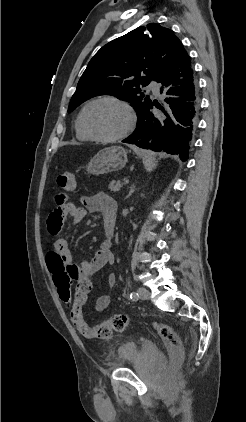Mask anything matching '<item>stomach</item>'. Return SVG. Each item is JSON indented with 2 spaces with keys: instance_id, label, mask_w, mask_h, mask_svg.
<instances>
[{
  "instance_id": "stomach-1",
  "label": "stomach",
  "mask_w": 246,
  "mask_h": 422,
  "mask_svg": "<svg viewBox=\"0 0 246 422\" xmlns=\"http://www.w3.org/2000/svg\"><path fill=\"white\" fill-rule=\"evenodd\" d=\"M127 150L121 146H111L100 150L90 159L86 170L93 175L118 171L127 163Z\"/></svg>"
}]
</instances>
